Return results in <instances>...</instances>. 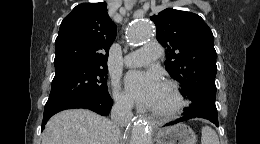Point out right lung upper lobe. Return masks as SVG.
I'll return each mask as SVG.
<instances>
[{
    "mask_svg": "<svg viewBox=\"0 0 260 144\" xmlns=\"http://www.w3.org/2000/svg\"><path fill=\"white\" fill-rule=\"evenodd\" d=\"M116 37L106 3H82L61 23L55 41L54 66H107L108 52Z\"/></svg>",
    "mask_w": 260,
    "mask_h": 144,
    "instance_id": "1",
    "label": "right lung upper lobe"
}]
</instances>
